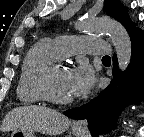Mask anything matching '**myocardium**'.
Segmentation results:
<instances>
[{"instance_id":"myocardium-1","label":"myocardium","mask_w":144,"mask_h":137,"mask_svg":"<svg viewBox=\"0 0 144 137\" xmlns=\"http://www.w3.org/2000/svg\"><path fill=\"white\" fill-rule=\"evenodd\" d=\"M60 66L63 65L59 62H53L41 71L38 78V89L42 98L47 102L58 105L71 104L73 102L72 97H60L54 92L52 87L53 74Z\"/></svg>"}]
</instances>
